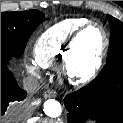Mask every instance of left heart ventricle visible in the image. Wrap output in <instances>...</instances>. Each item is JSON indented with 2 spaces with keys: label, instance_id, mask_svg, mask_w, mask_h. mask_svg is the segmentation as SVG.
I'll list each match as a JSON object with an SVG mask.
<instances>
[{
  "label": "left heart ventricle",
  "instance_id": "obj_1",
  "mask_svg": "<svg viewBox=\"0 0 123 123\" xmlns=\"http://www.w3.org/2000/svg\"><path fill=\"white\" fill-rule=\"evenodd\" d=\"M103 41V35L96 26L90 27L79 39L76 46V57L80 71L84 72L92 66Z\"/></svg>",
  "mask_w": 123,
  "mask_h": 123
}]
</instances>
